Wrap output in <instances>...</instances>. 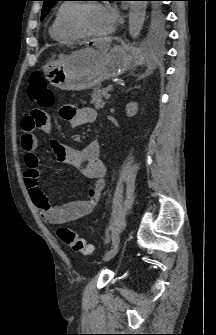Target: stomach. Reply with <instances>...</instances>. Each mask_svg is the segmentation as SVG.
Segmentation results:
<instances>
[{"instance_id":"0dacf381","label":"stomach","mask_w":216,"mask_h":335,"mask_svg":"<svg viewBox=\"0 0 216 335\" xmlns=\"http://www.w3.org/2000/svg\"><path fill=\"white\" fill-rule=\"evenodd\" d=\"M94 58L88 66H77L76 55ZM145 58L140 53H131L120 45H115L106 52L84 48L70 56H61L47 64L43 70L49 83L61 90L81 91L99 87L102 82L118 77L132 66L142 65Z\"/></svg>"}]
</instances>
